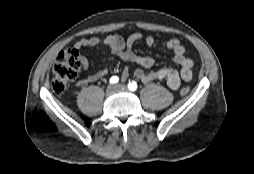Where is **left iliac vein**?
Returning <instances> with one entry per match:
<instances>
[{"mask_svg":"<svg viewBox=\"0 0 254 174\" xmlns=\"http://www.w3.org/2000/svg\"><path fill=\"white\" fill-rule=\"evenodd\" d=\"M116 89L117 90H126V86L123 84H118V85H116Z\"/></svg>","mask_w":254,"mask_h":174,"instance_id":"4c4485c4","label":"left iliac vein"}]
</instances>
